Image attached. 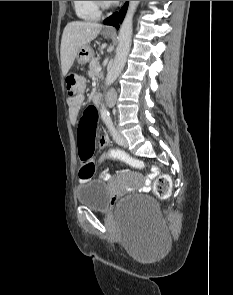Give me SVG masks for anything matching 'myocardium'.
I'll use <instances>...</instances> for the list:
<instances>
[{
	"label": "myocardium",
	"mask_w": 233,
	"mask_h": 295,
	"mask_svg": "<svg viewBox=\"0 0 233 295\" xmlns=\"http://www.w3.org/2000/svg\"><path fill=\"white\" fill-rule=\"evenodd\" d=\"M94 2L100 10H108L112 8L113 6L112 5L113 2H109V1H94Z\"/></svg>",
	"instance_id": "f54148a6"
}]
</instances>
